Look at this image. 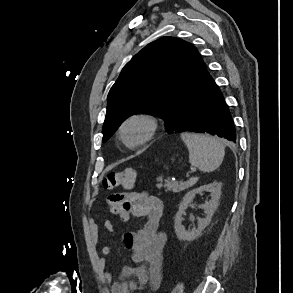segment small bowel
<instances>
[{"label": "small bowel", "mask_w": 293, "mask_h": 293, "mask_svg": "<svg viewBox=\"0 0 293 293\" xmlns=\"http://www.w3.org/2000/svg\"><path fill=\"white\" fill-rule=\"evenodd\" d=\"M108 206L110 211L119 215L124 222L132 218L143 219L137 232H125L122 236L123 243L132 252L133 265L124 266L115 280H112L111 274L106 275V280L111 283V293H134L148 288L158 289L162 282L163 248L166 243V234L160 230L163 202L159 197L145 191H127L110 195ZM88 225L94 248L99 245L100 225L107 232L115 233L113 224L109 220L99 222L95 218H90ZM101 252L104 256H109L111 247L104 244Z\"/></svg>", "instance_id": "small-bowel-1"}]
</instances>
